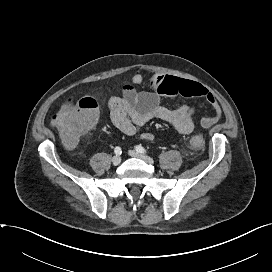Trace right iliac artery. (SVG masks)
Listing matches in <instances>:
<instances>
[{"label":"right iliac artery","mask_w":272,"mask_h":272,"mask_svg":"<svg viewBox=\"0 0 272 272\" xmlns=\"http://www.w3.org/2000/svg\"><path fill=\"white\" fill-rule=\"evenodd\" d=\"M114 152H115L116 155H121L122 150H121L120 147H116V148L114 149Z\"/></svg>","instance_id":"82829eb1"}]
</instances>
